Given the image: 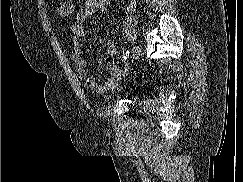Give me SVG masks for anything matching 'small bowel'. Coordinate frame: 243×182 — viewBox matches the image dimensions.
I'll return each instance as SVG.
<instances>
[{"label": "small bowel", "instance_id": "1", "mask_svg": "<svg viewBox=\"0 0 243 182\" xmlns=\"http://www.w3.org/2000/svg\"><path fill=\"white\" fill-rule=\"evenodd\" d=\"M109 7V0H86L83 7L75 14L72 22L69 24L72 37V57L76 76L88 88L99 94L116 89L121 82L124 70L114 61L113 57L116 53L115 46L112 42H108L110 60L107 64V71L109 77L104 81H99L94 76L89 75L87 61L82 57L81 39L85 35L83 28L84 22L93 14L108 11Z\"/></svg>", "mask_w": 243, "mask_h": 182}]
</instances>
